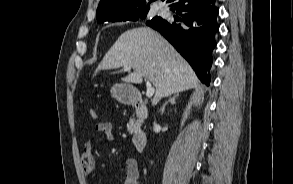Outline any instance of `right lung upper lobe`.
I'll return each instance as SVG.
<instances>
[{
    "label": "right lung upper lobe",
    "instance_id": "1",
    "mask_svg": "<svg viewBox=\"0 0 293 184\" xmlns=\"http://www.w3.org/2000/svg\"><path fill=\"white\" fill-rule=\"evenodd\" d=\"M149 8L148 0H101L96 17L101 23L122 21Z\"/></svg>",
    "mask_w": 293,
    "mask_h": 184
}]
</instances>
